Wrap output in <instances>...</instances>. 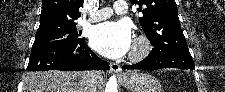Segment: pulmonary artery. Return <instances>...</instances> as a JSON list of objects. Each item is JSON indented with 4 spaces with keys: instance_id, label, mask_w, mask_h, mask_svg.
<instances>
[{
    "instance_id": "obj_1",
    "label": "pulmonary artery",
    "mask_w": 225,
    "mask_h": 92,
    "mask_svg": "<svg viewBox=\"0 0 225 92\" xmlns=\"http://www.w3.org/2000/svg\"><path fill=\"white\" fill-rule=\"evenodd\" d=\"M113 9L118 14L127 13L128 8L125 1H117L113 5ZM112 15V9L110 7H105L100 9L99 11L93 13L90 16L89 22H98L101 20H105Z\"/></svg>"
}]
</instances>
